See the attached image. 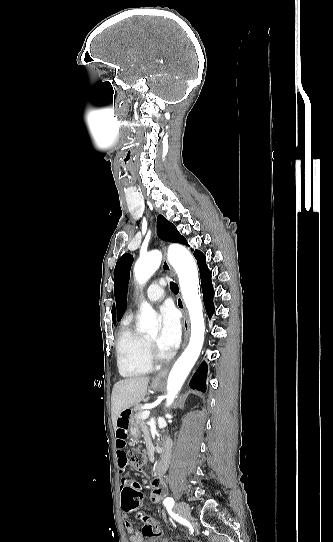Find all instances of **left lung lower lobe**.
<instances>
[{
  "label": "left lung lower lobe",
  "instance_id": "1",
  "mask_svg": "<svg viewBox=\"0 0 333 542\" xmlns=\"http://www.w3.org/2000/svg\"><path fill=\"white\" fill-rule=\"evenodd\" d=\"M194 256L196 257L198 261V266L200 268V275H201V281H202V292H203V298L204 303L206 307V311L208 313V316L211 317L214 313V305H213V296H214V290L211 283V273L206 265V258L204 254L198 250L194 252ZM206 375H207V364L203 362L196 373L194 374L190 386L193 389H197L199 391H206Z\"/></svg>",
  "mask_w": 333,
  "mask_h": 542
}]
</instances>
